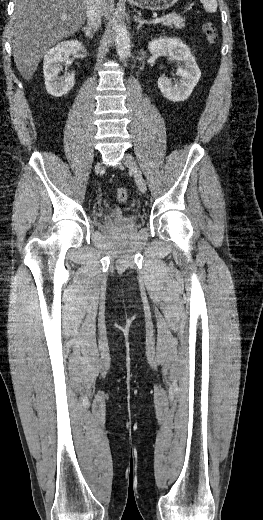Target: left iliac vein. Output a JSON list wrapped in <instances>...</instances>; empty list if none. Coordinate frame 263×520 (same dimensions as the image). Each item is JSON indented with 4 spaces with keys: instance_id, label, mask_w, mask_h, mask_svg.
Segmentation results:
<instances>
[{
    "instance_id": "obj_1",
    "label": "left iliac vein",
    "mask_w": 263,
    "mask_h": 520,
    "mask_svg": "<svg viewBox=\"0 0 263 520\" xmlns=\"http://www.w3.org/2000/svg\"><path fill=\"white\" fill-rule=\"evenodd\" d=\"M123 160H124L125 165L133 173L135 182H136V184L138 186V189L142 193H145L146 190H147L146 182H145V179L143 178V176L141 174L140 169L137 166V163H136L134 157L131 154L126 153L124 155Z\"/></svg>"
}]
</instances>
